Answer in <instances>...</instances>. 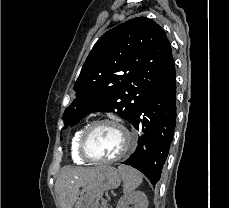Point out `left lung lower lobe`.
<instances>
[{
    "instance_id": "0a47b994",
    "label": "left lung lower lobe",
    "mask_w": 229,
    "mask_h": 208,
    "mask_svg": "<svg viewBox=\"0 0 229 208\" xmlns=\"http://www.w3.org/2000/svg\"><path fill=\"white\" fill-rule=\"evenodd\" d=\"M176 122V77L148 95L131 124L142 130L135 152L123 164L141 171L155 185L168 156Z\"/></svg>"
}]
</instances>
